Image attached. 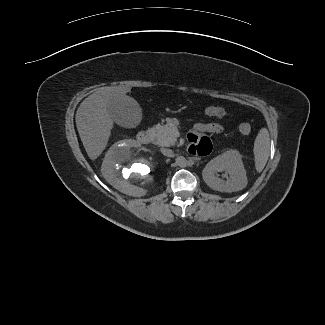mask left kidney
<instances>
[{"mask_svg":"<svg viewBox=\"0 0 325 325\" xmlns=\"http://www.w3.org/2000/svg\"><path fill=\"white\" fill-rule=\"evenodd\" d=\"M223 172V178L218 177ZM205 183L220 192L242 190L247 185L246 171L240 153L228 150L210 160L202 171Z\"/></svg>","mask_w":325,"mask_h":325,"instance_id":"1","label":"left kidney"}]
</instances>
